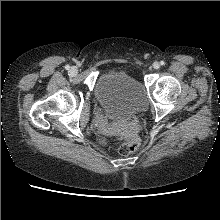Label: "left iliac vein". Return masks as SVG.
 Here are the masks:
<instances>
[{"label":"left iliac vein","mask_w":220,"mask_h":220,"mask_svg":"<svg viewBox=\"0 0 220 220\" xmlns=\"http://www.w3.org/2000/svg\"><path fill=\"white\" fill-rule=\"evenodd\" d=\"M159 67H160V64L158 62L153 63V68L154 69H159Z\"/></svg>","instance_id":"1"}]
</instances>
